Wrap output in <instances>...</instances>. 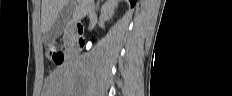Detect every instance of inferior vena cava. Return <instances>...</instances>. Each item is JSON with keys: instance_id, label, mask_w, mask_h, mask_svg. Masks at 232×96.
Segmentation results:
<instances>
[{"instance_id": "1", "label": "inferior vena cava", "mask_w": 232, "mask_h": 96, "mask_svg": "<svg viewBox=\"0 0 232 96\" xmlns=\"http://www.w3.org/2000/svg\"><path fill=\"white\" fill-rule=\"evenodd\" d=\"M88 14H89V17L95 16L94 1H92V4L88 8Z\"/></svg>"}]
</instances>
